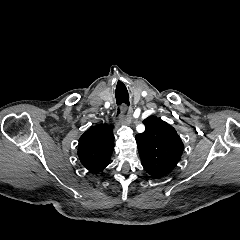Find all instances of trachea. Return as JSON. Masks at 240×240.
I'll return each instance as SVG.
<instances>
[{
  "mask_svg": "<svg viewBox=\"0 0 240 240\" xmlns=\"http://www.w3.org/2000/svg\"><path fill=\"white\" fill-rule=\"evenodd\" d=\"M116 99H117V104H126V105H129V97H128V94L127 95H122V96H116ZM118 114H120L121 112L119 111L118 109Z\"/></svg>",
  "mask_w": 240,
  "mask_h": 240,
  "instance_id": "trachea-1",
  "label": "trachea"
}]
</instances>
